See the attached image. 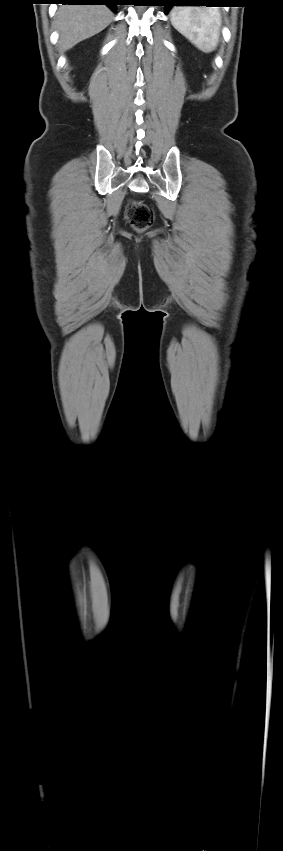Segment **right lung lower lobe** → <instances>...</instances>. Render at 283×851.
Here are the masks:
<instances>
[{"label": "right lung lower lobe", "mask_w": 283, "mask_h": 851, "mask_svg": "<svg viewBox=\"0 0 283 851\" xmlns=\"http://www.w3.org/2000/svg\"><path fill=\"white\" fill-rule=\"evenodd\" d=\"M53 3L68 5H107L113 12L120 0H52Z\"/></svg>", "instance_id": "1"}]
</instances>
